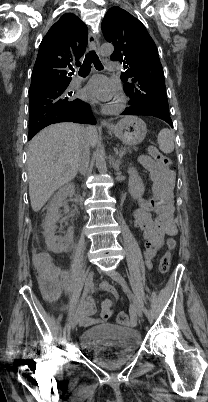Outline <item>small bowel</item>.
<instances>
[{"instance_id":"1","label":"small bowel","mask_w":208,"mask_h":402,"mask_svg":"<svg viewBox=\"0 0 208 402\" xmlns=\"http://www.w3.org/2000/svg\"><path fill=\"white\" fill-rule=\"evenodd\" d=\"M140 163L149 172L148 181L152 184V197L142 201L132 212L133 225L142 231L146 249L144 255L147 265L151 266V258L162 245L165 237L177 234V226L174 221L173 207V187L175 181L174 172L149 156H142ZM38 256H43L39 254ZM62 288L68 289V271L62 270ZM101 289L118 298L117 290L107 281L101 283ZM100 295V292H97ZM57 295H44L47 302L52 303ZM111 300L105 299L102 302L103 320L111 317ZM93 302L85 301V308L79 314L78 322L82 330H89L91 325L97 323V319L92 316ZM69 327V324H66Z\"/></svg>"}]
</instances>
